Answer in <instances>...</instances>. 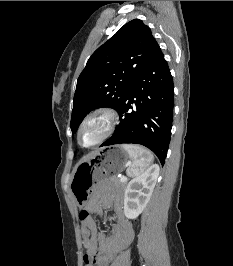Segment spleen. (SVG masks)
Returning a JSON list of instances; mask_svg holds the SVG:
<instances>
[{
	"mask_svg": "<svg viewBox=\"0 0 233 266\" xmlns=\"http://www.w3.org/2000/svg\"><path fill=\"white\" fill-rule=\"evenodd\" d=\"M122 147L130 157L127 169L129 177L140 176L154 160L152 153L144 147L133 144H123Z\"/></svg>",
	"mask_w": 233,
	"mask_h": 266,
	"instance_id": "1",
	"label": "spleen"
}]
</instances>
